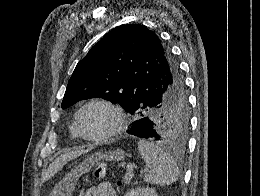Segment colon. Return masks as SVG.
I'll return each instance as SVG.
<instances>
[{
    "label": "colon",
    "instance_id": "obj_1",
    "mask_svg": "<svg viewBox=\"0 0 260 196\" xmlns=\"http://www.w3.org/2000/svg\"><path fill=\"white\" fill-rule=\"evenodd\" d=\"M94 170L97 178L103 179L105 177V165L103 163H96Z\"/></svg>",
    "mask_w": 260,
    "mask_h": 196
}]
</instances>
